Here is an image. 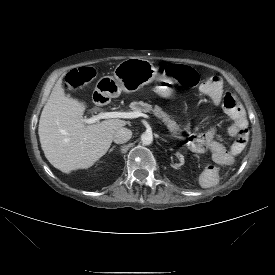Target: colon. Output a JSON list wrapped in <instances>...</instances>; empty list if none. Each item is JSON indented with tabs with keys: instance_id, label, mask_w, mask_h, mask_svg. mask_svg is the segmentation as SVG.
I'll list each match as a JSON object with an SVG mask.
<instances>
[{
	"instance_id": "5ec220e1",
	"label": "colon",
	"mask_w": 275,
	"mask_h": 275,
	"mask_svg": "<svg viewBox=\"0 0 275 275\" xmlns=\"http://www.w3.org/2000/svg\"><path fill=\"white\" fill-rule=\"evenodd\" d=\"M165 71L168 75L175 78L184 87L194 88L200 83V77L198 73L188 66L180 64H170L166 67ZM94 76L95 71L90 67H82L77 70H73L66 76L65 88L69 91L79 90L84 85L89 83ZM234 102L235 100L230 93L224 94L223 106L226 110L230 109L234 105ZM248 135L249 134L247 129L241 130L236 136L235 141L232 143L230 151L232 153H240L247 144Z\"/></svg>"
}]
</instances>
